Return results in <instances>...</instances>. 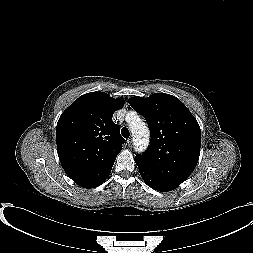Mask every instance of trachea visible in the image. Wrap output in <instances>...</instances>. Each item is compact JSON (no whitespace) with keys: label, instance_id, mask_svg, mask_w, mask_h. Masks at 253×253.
<instances>
[{"label":"trachea","instance_id":"obj_1","mask_svg":"<svg viewBox=\"0 0 253 253\" xmlns=\"http://www.w3.org/2000/svg\"><path fill=\"white\" fill-rule=\"evenodd\" d=\"M121 134L124 138H129L130 136V133H129V130L126 128V127H123L122 130H121Z\"/></svg>","mask_w":253,"mask_h":253}]
</instances>
